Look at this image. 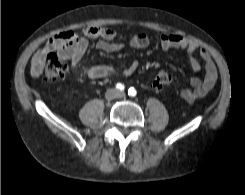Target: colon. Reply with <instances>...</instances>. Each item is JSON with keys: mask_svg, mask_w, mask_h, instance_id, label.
<instances>
[{"mask_svg": "<svg viewBox=\"0 0 245 195\" xmlns=\"http://www.w3.org/2000/svg\"><path fill=\"white\" fill-rule=\"evenodd\" d=\"M68 73V65L60 60L56 54L50 53L46 58V66L43 77L47 81L64 78ZM172 74L167 70H160L152 77V87L161 90L172 82Z\"/></svg>", "mask_w": 245, "mask_h": 195, "instance_id": "colon-1", "label": "colon"}]
</instances>
